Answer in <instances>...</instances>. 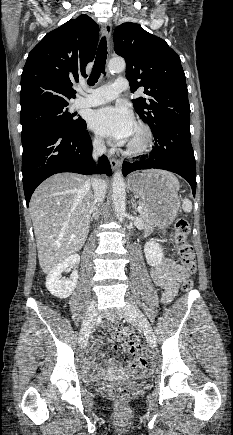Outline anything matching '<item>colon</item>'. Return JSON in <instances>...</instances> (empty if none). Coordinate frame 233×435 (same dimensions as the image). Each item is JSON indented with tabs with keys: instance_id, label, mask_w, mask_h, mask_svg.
I'll list each match as a JSON object with an SVG mask.
<instances>
[{
	"instance_id": "colon-1",
	"label": "colon",
	"mask_w": 233,
	"mask_h": 435,
	"mask_svg": "<svg viewBox=\"0 0 233 435\" xmlns=\"http://www.w3.org/2000/svg\"><path fill=\"white\" fill-rule=\"evenodd\" d=\"M189 234V223L183 218H178L175 222V244L177 253L183 267L188 272L193 273L196 269V263L192 245L188 242ZM182 290L186 293L192 291V280L190 278L185 279L182 282ZM125 335L126 349L134 353H145V351L141 348L140 344L133 339L134 335L132 331L126 329ZM101 391L105 396L113 399L118 404L125 403L130 397L129 389L121 386L105 384L101 387Z\"/></svg>"
}]
</instances>
